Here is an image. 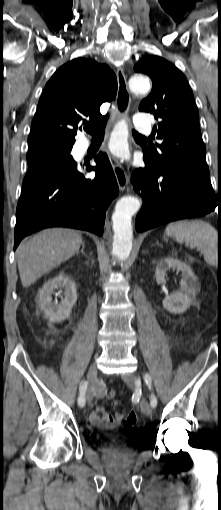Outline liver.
Returning <instances> with one entry per match:
<instances>
[{"instance_id":"liver-1","label":"liver","mask_w":221,"mask_h":510,"mask_svg":"<svg viewBox=\"0 0 221 510\" xmlns=\"http://www.w3.org/2000/svg\"><path fill=\"white\" fill-rule=\"evenodd\" d=\"M82 244L79 232L53 228L46 229L22 241L18 247V269L23 287H29L42 275L76 254Z\"/></svg>"}]
</instances>
